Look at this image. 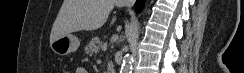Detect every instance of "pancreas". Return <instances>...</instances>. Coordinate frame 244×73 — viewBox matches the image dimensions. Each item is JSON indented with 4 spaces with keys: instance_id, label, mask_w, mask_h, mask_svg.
Wrapping results in <instances>:
<instances>
[{
    "instance_id": "cf45deb5",
    "label": "pancreas",
    "mask_w": 244,
    "mask_h": 73,
    "mask_svg": "<svg viewBox=\"0 0 244 73\" xmlns=\"http://www.w3.org/2000/svg\"><path fill=\"white\" fill-rule=\"evenodd\" d=\"M102 47V41L98 37H94L85 47V53L88 55L97 54ZM111 66V62L108 64Z\"/></svg>"
}]
</instances>
